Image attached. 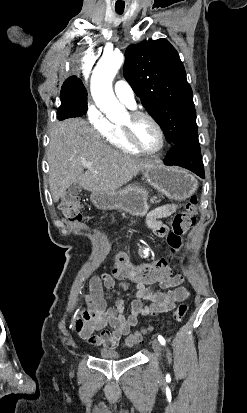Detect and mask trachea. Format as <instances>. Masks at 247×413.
I'll return each instance as SVG.
<instances>
[{
	"instance_id": "obj_1",
	"label": "trachea",
	"mask_w": 247,
	"mask_h": 413,
	"mask_svg": "<svg viewBox=\"0 0 247 413\" xmlns=\"http://www.w3.org/2000/svg\"><path fill=\"white\" fill-rule=\"evenodd\" d=\"M119 14L123 13V11H118Z\"/></svg>"
}]
</instances>
